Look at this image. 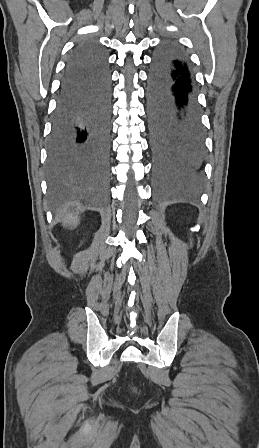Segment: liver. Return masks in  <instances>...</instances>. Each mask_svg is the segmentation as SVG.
Masks as SVG:
<instances>
[{
    "instance_id": "1",
    "label": "liver",
    "mask_w": 259,
    "mask_h": 448,
    "mask_svg": "<svg viewBox=\"0 0 259 448\" xmlns=\"http://www.w3.org/2000/svg\"><path fill=\"white\" fill-rule=\"evenodd\" d=\"M78 222V218H72V216H70V218H67V220H65L64 224H74V226H77Z\"/></svg>"
}]
</instances>
